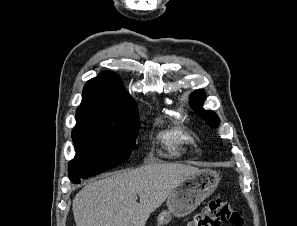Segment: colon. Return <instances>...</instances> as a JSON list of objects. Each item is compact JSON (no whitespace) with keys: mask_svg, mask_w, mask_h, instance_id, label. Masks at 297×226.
<instances>
[{"mask_svg":"<svg viewBox=\"0 0 297 226\" xmlns=\"http://www.w3.org/2000/svg\"><path fill=\"white\" fill-rule=\"evenodd\" d=\"M222 223H229L232 226H242L243 218L226 201L214 199L205 205L187 226H220Z\"/></svg>","mask_w":297,"mask_h":226,"instance_id":"1","label":"colon"}]
</instances>
